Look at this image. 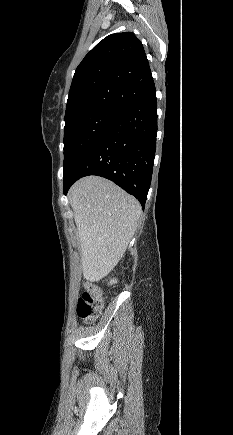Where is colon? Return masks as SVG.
Segmentation results:
<instances>
[{
	"label": "colon",
	"instance_id": "obj_1",
	"mask_svg": "<svg viewBox=\"0 0 233 435\" xmlns=\"http://www.w3.org/2000/svg\"><path fill=\"white\" fill-rule=\"evenodd\" d=\"M101 289L95 284H87L77 301V315L85 322H94L104 307Z\"/></svg>",
	"mask_w": 233,
	"mask_h": 435
}]
</instances>
